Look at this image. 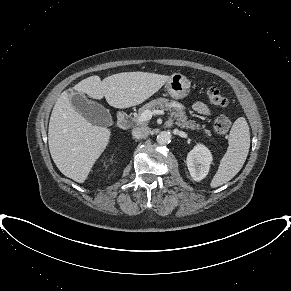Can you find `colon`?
Segmentation results:
<instances>
[{
    "label": "colon",
    "instance_id": "1",
    "mask_svg": "<svg viewBox=\"0 0 291 291\" xmlns=\"http://www.w3.org/2000/svg\"><path fill=\"white\" fill-rule=\"evenodd\" d=\"M208 102L212 107H225L228 105L227 97L215 87H211L207 91ZM230 128V120L228 117L219 116L214 122V130L218 134H225Z\"/></svg>",
    "mask_w": 291,
    "mask_h": 291
}]
</instances>
